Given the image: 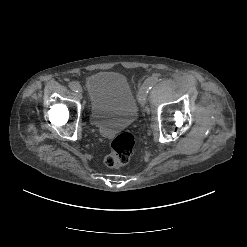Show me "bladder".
<instances>
[{
  "label": "bladder",
  "instance_id": "31cf9c89",
  "mask_svg": "<svg viewBox=\"0 0 247 247\" xmlns=\"http://www.w3.org/2000/svg\"><path fill=\"white\" fill-rule=\"evenodd\" d=\"M89 117L104 136L128 127L137 114V99L127 80L120 73L102 71L87 79Z\"/></svg>",
  "mask_w": 247,
  "mask_h": 247
}]
</instances>
